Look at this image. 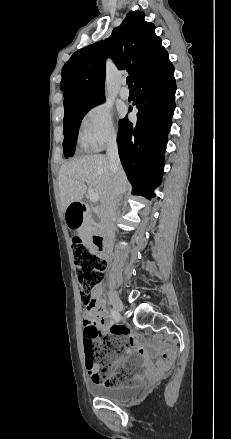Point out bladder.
Segmentation results:
<instances>
[{
	"label": "bladder",
	"mask_w": 231,
	"mask_h": 439,
	"mask_svg": "<svg viewBox=\"0 0 231 439\" xmlns=\"http://www.w3.org/2000/svg\"><path fill=\"white\" fill-rule=\"evenodd\" d=\"M129 369L132 366H128ZM139 371V367L136 368ZM93 396L113 402H124L139 396L141 388L136 385L106 386L103 384H93L90 386Z\"/></svg>",
	"instance_id": "31cf9c89"
}]
</instances>
